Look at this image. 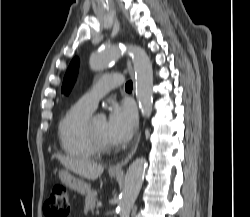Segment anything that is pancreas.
I'll list each match as a JSON object with an SVG mask.
<instances>
[{"label":"pancreas","mask_w":250,"mask_h":217,"mask_svg":"<svg viewBox=\"0 0 250 217\" xmlns=\"http://www.w3.org/2000/svg\"><path fill=\"white\" fill-rule=\"evenodd\" d=\"M97 196V192L96 191H90L87 195H86V198H85V206H84V211L85 212H88V211H91L93 212L94 211V208L96 206V198Z\"/></svg>","instance_id":"cf45deb5"}]
</instances>
